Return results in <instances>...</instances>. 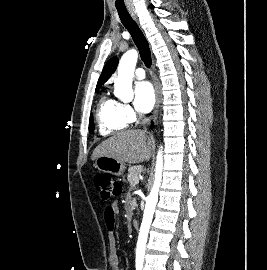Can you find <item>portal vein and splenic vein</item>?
<instances>
[{
  "label": "portal vein and splenic vein",
  "mask_w": 267,
  "mask_h": 270,
  "mask_svg": "<svg viewBox=\"0 0 267 270\" xmlns=\"http://www.w3.org/2000/svg\"><path fill=\"white\" fill-rule=\"evenodd\" d=\"M135 182H136V183H138V182H139V179H138V178H136Z\"/></svg>",
  "instance_id": "portal-vein-and-splenic-vein-1"
}]
</instances>
